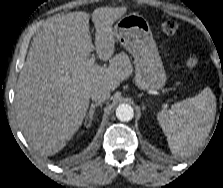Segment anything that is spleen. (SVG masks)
<instances>
[{"label":"spleen","mask_w":223,"mask_h":188,"mask_svg":"<svg viewBox=\"0 0 223 188\" xmlns=\"http://www.w3.org/2000/svg\"><path fill=\"white\" fill-rule=\"evenodd\" d=\"M216 98L210 88L157 113V120L173 154L189 155L210 132Z\"/></svg>","instance_id":"1"}]
</instances>
